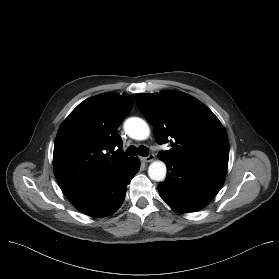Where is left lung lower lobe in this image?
Masks as SVG:
<instances>
[{"label":"left lung lower lobe","mask_w":279,"mask_h":279,"mask_svg":"<svg viewBox=\"0 0 279 279\" xmlns=\"http://www.w3.org/2000/svg\"><path fill=\"white\" fill-rule=\"evenodd\" d=\"M167 177L159 183L160 197L177 212H193L207 205L222 187L226 171L187 165L170 158Z\"/></svg>","instance_id":"1"}]
</instances>
